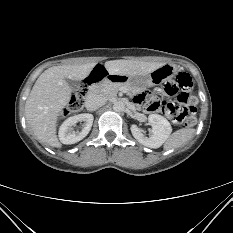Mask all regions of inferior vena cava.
<instances>
[{"instance_id": "1", "label": "inferior vena cava", "mask_w": 233, "mask_h": 233, "mask_svg": "<svg viewBox=\"0 0 233 233\" xmlns=\"http://www.w3.org/2000/svg\"><path fill=\"white\" fill-rule=\"evenodd\" d=\"M106 102V98L102 95L89 94L85 98V107L89 111H95L99 107L103 106Z\"/></svg>"}]
</instances>
